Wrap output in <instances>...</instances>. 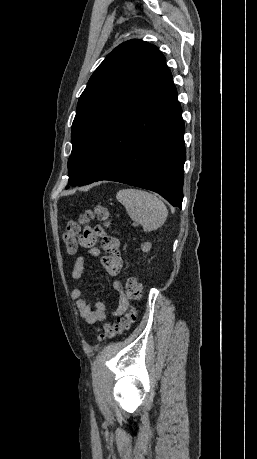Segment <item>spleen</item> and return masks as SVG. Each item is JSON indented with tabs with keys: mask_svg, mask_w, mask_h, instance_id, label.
Instances as JSON below:
<instances>
[{
	"mask_svg": "<svg viewBox=\"0 0 257 459\" xmlns=\"http://www.w3.org/2000/svg\"><path fill=\"white\" fill-rule=\"evenodd\" d=\"M117 200L126 208L130 218L141 224L145 232L161 227L168 210L155 194L139 189H123L117 192Z\"/></svg>",
	"mask_w": 257,
	"mask_h": 459,
	"instance_id": "obj_1",
	"label": "spleen"
}]
</instances>
